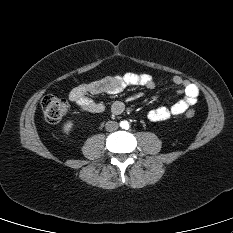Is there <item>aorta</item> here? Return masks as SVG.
<instances>
[{
  "instance_id": "1",
  "label": "aorta",
  "mask_w": 233,
  "mask_h": 233,
  "mask_svg": "<svg viewBox=\"0 0 233 233\" xmlns=\"http://www.w3.org/2000/svg\"><path fill=\"white\" fill-rule=\"evenodd\" d=\"M121 127L124 128V129L129 128L128 122H126V121L122 122V123H121Z\"/></svg>"
}]
</instances>
